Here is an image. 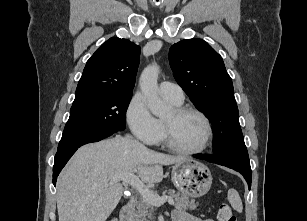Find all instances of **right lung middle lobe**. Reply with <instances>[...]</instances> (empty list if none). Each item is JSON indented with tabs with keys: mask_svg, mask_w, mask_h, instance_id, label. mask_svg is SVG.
<instances>
[{
	"mask_svg": "<svg viewBox=\"0 0 307 221\" xmlns=\"http://www.w3.org/2000/svg\"><path fill=\"white\" fill-rule=\"evenodd\" d=\"M132 93H109L73 102L58 148L123 131Z\"/></svg>",
	"mask_w": 307,
	"mask_h": 221,
	"instance_id": "dd1d6c3e",
	"label": "right lung middle lobe"
}]
</instances>
